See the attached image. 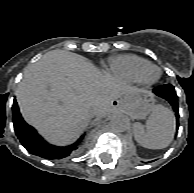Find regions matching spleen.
<instances>
[{
  "label": "spleen",
  "mask_w": 194,
  "mask_h": 193,
  "mask_svg": "<svg viewBox=\"0 0 194 193\" xmlns=\"http://www.w3.org/2000/svg\"><path fill=\"white\" fill-rule=\"evenodd\" d=\"M174 131V115L163 105L153 106L145 126L139 122L133 125L135 140L148 149L166 148L172 142Z\"/></svg>",
  "instance_id": "obj_1"
}]
</instances>
